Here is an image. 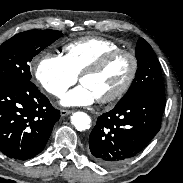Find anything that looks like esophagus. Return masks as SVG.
<instances>
[{
  "label": "esophagus",
  "mask_w": 183,
  "mask_h": 183,
  "mask_svg": "<svg viewBox=\"0 0 183 183\" xmlns=\"http://www.w3.org/2000/svg\"><path fill=\"white\" fill-rule=\"evenodd\" d=\"M60 114L62 117H64V116L71 114V111L70 110H61Z\"/></svg>",
  "instance_id": "1"
}]
</instances>
